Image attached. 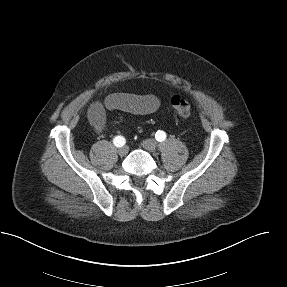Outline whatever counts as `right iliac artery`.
<instances>
[{
    "mask_svg": "<svg viewBox=\"0 0 287 287\" xmlns=\"http://www.w3.org/2000/svg\"><path fill=\"white\" fill-rule=\"evenodd\" d=\"M113 143L115 146L117 147H122L125 143H126V140L124 137L122 136H116L114 139H113Z\"/></svg>",
    "mask_w": 287,
    "mask_h": 287,
    "instance_id": "1",
    "label": "right iliac artery"
}]
</instances>
